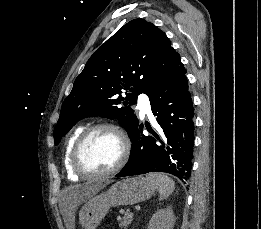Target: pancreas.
<instances>
[{
    "label": "pancreas",
    "instance_id": "1",
    "mask_svg": "<svg viewBox=\"0 0 261 229\" xmlns=\"http://www.w3.org/2000/svg\"><path fill=\"white\" fill-rule=\"evenodd\" d=\"M130 215V213H129ZM133 215V213H132ZM133 221V217H123V219H121L120 223H119V227L120 229H127L128 225H131Z\"/></svg>",
    "mask_w": 261,
    "mask_h": 229
}]
</instances>
